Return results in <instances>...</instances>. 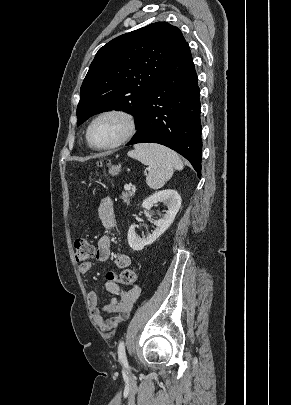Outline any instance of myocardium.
<instances>
[{
	"instance_id": "obj_1",
	"label": "myocardium",
	"mask_w": 291,
	"mask_h": 405,
	"mask_svg": "<svg viewBox=\"0 0 291 405\" xmlns=\"http://www.w3.org/2000/svg\"><path fill=\"white\" fill-rule=\"evenodd\" d=\"M106 116H116L121 118L124 123H125V131L124 133L118 138L116 141H114L111 144L105 145V146H95L92 144L90 140V132L93 127V125L100 120L103 117ZM136 133V120L133 114L130 112L124 110V109H119V108H110V109H105L98 114H96L92 120L89 122L87 128H86V133H85V138L87 145L89 148L96 150V151H106V150H112L115 148H118L125 143H127Z\"/></svg>"
}]
</instances>
